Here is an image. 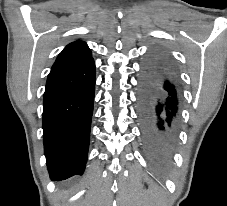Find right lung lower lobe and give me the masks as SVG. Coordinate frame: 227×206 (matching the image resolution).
I'll use <instances>...</instances> for the list:
<instances>
[{
	"mask_svg": "<svg viewBox=\"0 0 227 206\" xmlns=\"http://www.w3.org/2000/svg\"><path fill=\"white\" fill-rule=\"evenodd\" d=\"M95 91L93 58L53 67L43 99V142L52 180L82 175L87 161Z\"/></svg>",
	"mask_w": 227,
	"mask_h": 206,
	"instance_id": "obj_1",
	"label": "right lung lower lobe"
}]
</instances>
